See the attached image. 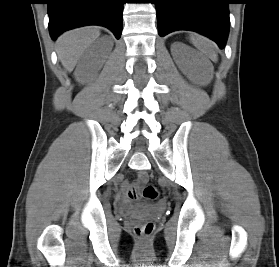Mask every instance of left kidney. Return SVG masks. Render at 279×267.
<instances>
[{
  "label": "left kidney",
  "instance_id": "obj_1",
  "mask_svg": "<svg viewBox=\"0 0 279 267\" xmlns=\"http://www.w3.org/2000/svg\"><path fill=\"white\" fill-rule=\"evenodd\" d=\"M173 46L179 47L180 44L177 43V44H174ZM175 62L178 65L179 69L183 72V74L191 77L190 76V69H189L188 64H187V62H186V60L183 56H179L178 58H176Z\"/></svg>",
  "mask_w": 279,
  "mask_h": 267
}]
</instances>
